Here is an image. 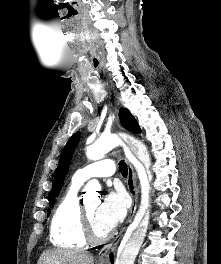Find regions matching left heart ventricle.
<instances>
[{"mask_svg":"<svg viewBox=\"0 0 221 264\" xmlns=\"http://www.w3.org/2000/svg\"><path fill=\"white\" fill-rule=\"evenodd\" d=\"M99 204L100 203L97 199H91L84 203L95 233L98 235H103L107 233L109 229L101 222L98 217L97 211Z\"/></svg>","mask_w":221,"mask_h":264,"instance_id":"left-heart-ventricle-1","label":"left heart ventricle"}]
</instances>
